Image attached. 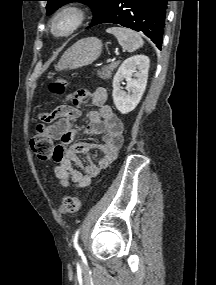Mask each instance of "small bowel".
<instances>
[{
    "mask_svg": "<svg viewBox=\"0 0 216 285\" xmlns=\"http://www.w3.org/2000/svg\"><path fill=\"white\" fill-rule=\"evenodd\" d=\"M74 106L60 107L55 113L44 116L45 121L57 119L48 129L38 128V133H47L52 139L61 141L56 146L53 160L54 175L63 187H87L96 177L100 169L108 167L117 157L123 143V124L107 105V91L99 87L94 91L79 89L73 94ZM90 100L97 107L88 114V124L84 130L77 129L74 124L80 118L78 104ZM100 136V143L74 142L79 134ZM98 149L102 157L94 163L90 152ZM80 154L87 155L85 165L79 158Z\"/></svg>",
    "mask_w": 216,
    "mask_h": 285,
    "instance_id": "1",
    "label": "small bowel"
}]
</instances>
